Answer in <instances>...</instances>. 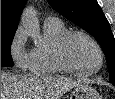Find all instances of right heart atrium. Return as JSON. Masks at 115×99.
I'll return each mask as SVG.
<instances>
[{
	"label": "right heart atrium",
	"mask_w": 115,
	"mask_h": 99,
	"mask_svg": "<svg viewBox=\"0 0 115 99\" xmlns=\"http://www.w3.org/2000/svg\"><path fill=\"white\" fill-rule=\"evenodd\" d=\"M27 30L19 27L14 33L9 44L10 57L18 69H25L28 66L30 52L26 50Z\"/></svg>",
	"instance_id": "d8ad5b80"
}]
</instances>
